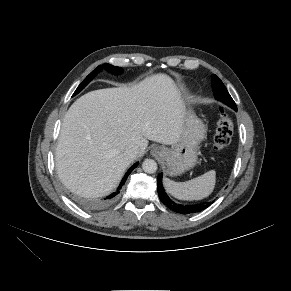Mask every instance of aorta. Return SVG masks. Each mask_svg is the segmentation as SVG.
<instances>
[{
    "label": "aorta",
    "instance_id": "762f6f07",
    "mask_svg": "<svg viewBox=\"0 0 291 291\" xmlns=\"http://www.w3.org/2000/svg\"><path fill=\"white\" fill-rule=\"evenodd\" d=\"M142 168L144 172L152 174L157 170V163L153 159H146L142 164Z\"/></svg>",
    "mask_w": 291,
    "mask_h": 291
}]
</instances>
